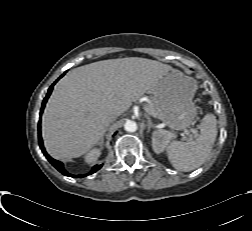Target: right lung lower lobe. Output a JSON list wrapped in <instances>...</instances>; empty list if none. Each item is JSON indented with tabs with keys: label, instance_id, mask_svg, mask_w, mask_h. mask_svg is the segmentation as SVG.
Instances as JSON below:
<instances>
[{
	"label": "right lung lower lobe",
	"instance_id": "right-lung-lower-lobe-1",
	"mask_svg": "<svg viewBox=\"0 0 252 231\" xmlns=\"http://www.w3.org/2000/svg\"><path fill=\"white\" fill-rule=\"evenodd\" d=\"M63 75H64V74H62V75L60 76V78H61ZM60 78H58V79L50 86V88H49V90H48V93H47L46 97H45L44 100H43L42 107H41V113H42L43 110H44L45 104H46V102H47V100H48V98H49V96H50V94H51V92H52L53 86L55 85V83H56ZM39 145H40V148H41L43 154H44L45 157L48 159V161H49L59 172H61L63 175L70 176V177H82V175L74 176V175H72V174H69V173L65 170L64 165H63L62 162L53 159L52 157H50V156L47 154V152L45 151V148H44V146H43L42 137H41V134H40V133H39ZM101 167H102V165H96V166H94L93 169H92V171L89 172V173H87V174L84 175V176L90 175V174H92V173L98 171Z\"/></svg>",
	"mask_w": 252,
	"mask_h": 231
}]
</instances>
